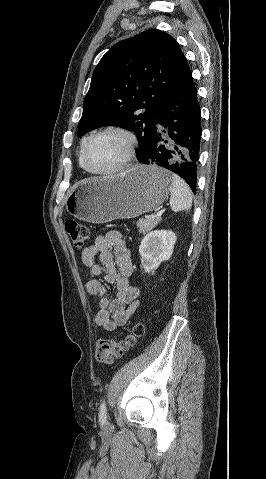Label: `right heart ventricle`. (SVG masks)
I'll list each match as a JSON object with an SVG mask.
<instances>
[{
  "label": "right heart ventricle",
  "mask_w": 266,
  "mask_h": 479,
  "mask_svg": "<svg viewBox=\"0 0 266 479\" xmlns=\"http://www.w3.org/2000/svg\"><path fill=\"white\" fill-rule=\"evenodd\" d=\"M85 142H86V140L82 142L81 147H80L79 164H80V166H81L82 169H84V170L87 171V169L85 168V166H84V164H83L82 157H81L82 149H83V146H84Z\"/></svg>",
  "instance_id": "e07e8e85"
}]
</instances>
